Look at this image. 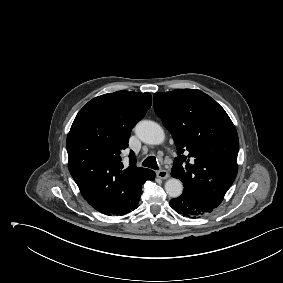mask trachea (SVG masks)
Returning <instances> with one entry per match:
<instances>
[{"label": "trachea", "instance_id": "1", "mask_svg": "<svg viewBox=\"0 0 283 283\" xmlns=\"http://www.w3.org/2000/svg\"><path fill=\"white\" fill-rule=\"evenodd\" d=\"M142 165L145 166V167L151 168V169H155V170L159 169L156 158L154 156L147 157L143 161Z\"/></svg>", "mask_w": 283, "mask_h": 283}]
</instances>
